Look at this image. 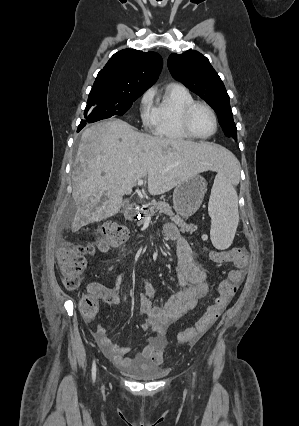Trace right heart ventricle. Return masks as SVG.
<instances>
[{"label":"right heart ventricle","instance_id":"obj_1","mask_svg":"<svg viewBox=\"0 0 299 426\" xmlns=\"http://www.w3.org/2000/svg\"><path fill=\"white\" fill-rule=\"evenodd\" d=\"M193 101L194 98L186 87L177 83L168 84L155 106L154 134L174 141L191 139L182 127L181 116L184 108Z\"/></svg>","mask_w":299,"mask_h":426}]
</instances>
